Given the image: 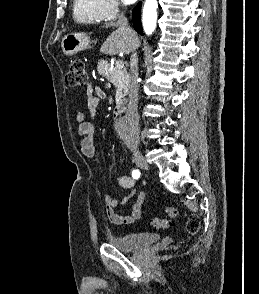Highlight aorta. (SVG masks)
<instances>
[{
	"mask_svg": "<svg viewBox=\"0 0 259 294\" xmlns=\"http://www.w3.org/2000/svg\"><path fill=\"white\" fill-rule=\"evenodd\" d=\"M157 0H146L143 7L142 14V24L143 29L147 35H151L155 28L157 22ZM129 128V123L127 120H122L119 122V129L123 132L127 131Z\"/></svg>",
	"mask_w": 259,
	"mask_h": 294,
	"instance_id": "1",
	"label": "aorta"
}]
</instances>
